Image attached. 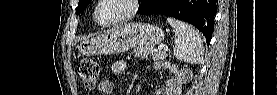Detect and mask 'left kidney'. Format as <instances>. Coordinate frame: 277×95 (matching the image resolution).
Returning a JSON list of instances; mask_svg holds the SVG:
<instances>
[{"instance_id": "obj_1", "label": "left kidney", "mask_w": 277, "mask_h": 95, "mask_svg": "<svg viewBox=\"0 0 277 95\" xmlns=\"http://www.w3.org/2000/svg\"><path fill=\"white\" fill-rule=\"evenodd\" d=\"M170 70L175 74V78L168 80L167 83V93H174L182 88L183 83L188 79V70L179 71L176 66H171Z\"/></svg>"}]
</instances>
